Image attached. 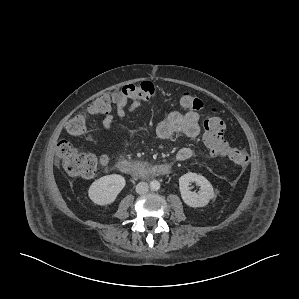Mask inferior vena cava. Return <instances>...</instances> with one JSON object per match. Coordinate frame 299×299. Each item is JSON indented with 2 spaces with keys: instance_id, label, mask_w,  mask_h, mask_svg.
I'll return each mask as SVG.
<instances>
[{
  "instance_id": "obj_1",
  "label": "inferior vena cava",
  "mask_w": 299,
  "mask_h": 299,
  "mask_svg": "<svg viewBox=\"0 0 299 299\" xmlns=\"http://www.w3.org/2000/svg\"><path fill=\"white\" fill-rule=\"evenodd\" d=\"M149 190V186L146 182H139L136 186V192L138 194H145Z\"/></svg>"
}]
</instances>
